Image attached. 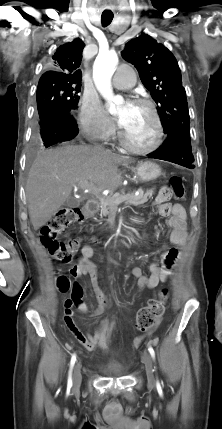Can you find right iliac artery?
<instances>
[{
  "label": "right iliac artery",
  "instance_id": "82829eb1",
  "mask_svg": "<svg viewBox=\"0 0 222 429\" xmlns=\"http://www.w3.org/2000/svg\"><path fill=\"white\" fill-rule=\"evenodd\" d=\"M75 361H76V354H73L72 358H71V361H70V370H69V377H68V383H67L68 390H70V388L72 387V377H71V374H72V369H73V366L75 364Z\"/></svg>",
  "mask_w": 222,
  "mask_h": 429
}]
</instances>
